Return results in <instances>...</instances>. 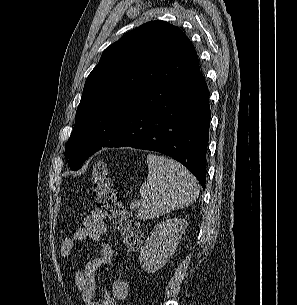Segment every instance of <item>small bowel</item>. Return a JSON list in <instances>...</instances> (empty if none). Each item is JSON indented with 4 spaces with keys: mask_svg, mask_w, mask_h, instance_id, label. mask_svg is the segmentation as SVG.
<instances>
[{
    "mask_svg": "<svg viewBox=\"0 0 297 305\" xmlns=\"http://www.w3.org/2000/svg\"><path fill=\"white\" fill-rule=\"evenodd\" d=\"M106 235V214L102 210H95L83 220L82 226L73 230L61 244L60 256L63 259L70 256L76 242L90 239L99 245L100 257L87 262L82 269L75 268L76 286L85 305H117L128 295L127 282L124 279L115 278L110 289L104 291L101 298H97L96 272L100 267L111 266L114 256L111 245L104 240Z\"/></svg>",
    "mask_w": 297,
    "mask_h": 305,
    "instance_id": "c3829d8e",
    "label": "small bowel"
}]
</instances>
